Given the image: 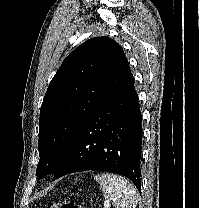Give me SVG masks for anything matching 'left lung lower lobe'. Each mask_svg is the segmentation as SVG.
<instances>
[{"instance_id": "left-lung-lower-lobe-1", "label": "left lung lower lobe", "mask_w": 199, "mask_h": 208, "mask_svg": "<svg viewBox=\"0 0 199 208\" xmlns=\"http://www.w3.org/2000/svg\"><path fill=\"white\" fill-rule=\"evenodd\" d=\"M142 116L131 72L83 123L53 180L73 172L108 171L128 177L141 191Z\"/></svg>"}]
</instances>
